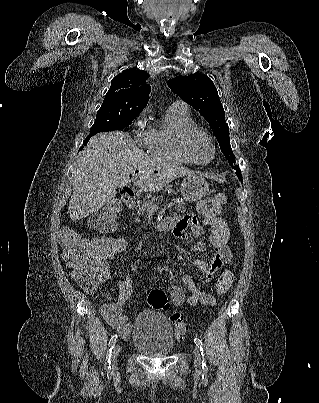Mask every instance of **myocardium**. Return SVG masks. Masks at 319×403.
<instances>
[{"label":"myocardium","mask_w":319,"mask_h":403,"mask_svg":"<svg viewBox=\"0 0 319 403\" xmlns=\"http://www.w3.org/2000/svg\"><path fill=\"white\" fill-rule=\"evenodd\" d=\"M196 135H203L210 142L212 149H213V155L209 161H200L193 154L192 149H191V143H192V139ZM180 148H181L182 153L188 159H190L193 163L199 164V165H205V164H209V163L213 162L214 159L216 158V154H217L216 144H215L212 136L209 134V132L207 130H205L204 128H201V127H197V126L187 128L186 130L183 131L181 139H180Z\"/></svg>","instance_id":"f54148a6"}]
</instances>
